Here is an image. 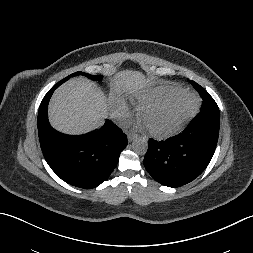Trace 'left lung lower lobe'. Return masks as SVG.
Returning a JSON list of instances; mask_svg holds the SVG:
<instances>
[{
    "mask_svg": "<svg viewBox=\"0 0 253 253\" xmlns=\"http://www.w3.org/2000/svg\"><path fill=\"white\" fill-rule=\"evenodd\" d=\"M220 112L200 111L185 130L165 141L149 139L144 166L159 183L185 185L208 166L219 136Z\"/></svg>",
    "mask_w": 253,
    "mask_h": 253,
    "instance_id": "obj_1",
    "label": "left lung lower lobe"
}]
</instances>
